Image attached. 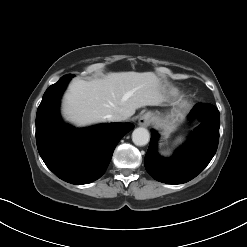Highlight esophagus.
I'll return each mask as SVG.
<instances>
[{"instance_id": "34e87169", "label": "esophagus", "mask_w": 247, "mask_h": 247, "mask_svg": "<svg viewBox=\"0 0 247 247\" xmlns=\"http://www.w3.org/2000/svg\"><path fill=\"white\" fill-rule=\"evenodd\" d=\"M152 121L151 113L147 112L139 118V125L143 127H148Z\"/></svg>"}]
</instances>
